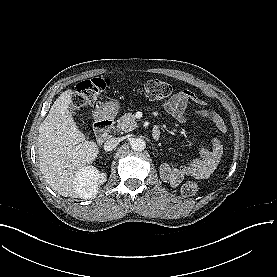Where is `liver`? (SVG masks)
<instances>
[{
	"label": "liver",
	"mask_w": 277,
	"mask_h": 277,
	"mask_svg": "<svg viewBox=\"0 0 277 277\" xmlns=\"http://www.w3.org/2000/svg\"><path fill=\"white\" fill-rule=\"evenodd\" d=\"M72 90L53 103L39 127L37 158L46 182L58 194L80 196L75 184L79 169L91 164L99 153L94 141H86L69 110Z\"/></svg>",
	"instance_id": "liver-1"
}]
</instances>
